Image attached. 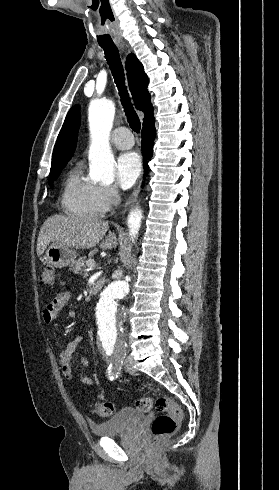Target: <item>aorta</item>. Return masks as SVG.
<instances>
[{
  "label": "aorta",
  "instance_id": "1",
  "mask_svg": "<svg viewBox=\"0 0 279 490\" xmlns=\"http://www.w3.org/2000/svg\"><path fill=\"white\" fill-rule=\"evenodd\" d=\"M115 106L111 101L99 100L89 106L90 176L94 181L110 184L114 181L116 162L110 149L109 136L113 126ZM142 211L133 210L128 217L131 240L137 237L141 227ZM129 292V284L119 280L109 284L100 293L95 308L96 336L102 346L124 343L123 323L125 314L118 301Z\"/></svg>",
  "mask_w": 279,
  "mask_h": 490
}]
</instances>
